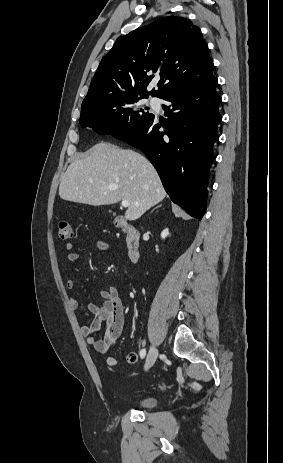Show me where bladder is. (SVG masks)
<instances>
[{
	"mask_svg": "<svg viewBox=\"0 0 283 463\" xmlns=\"http://www.w3.org/2000/svg\"><path fill=\"white\" fill-rule=\"evenodd\" d=\"M128 402L139 408L151 409L156 405L157 399L151 395H141L129 398Z\"/></svg>",
	"mask_w": 283,
	"mask_h": 463,
	"instance_id": "1",
	"label": "bladder"
}]
</instances>
